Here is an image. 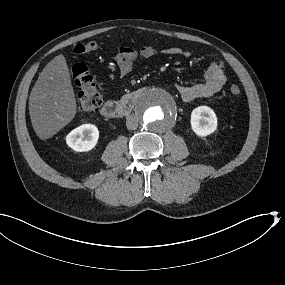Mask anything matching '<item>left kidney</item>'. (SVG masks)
Masks as SVG:
<instances>
[{"instance_id": "1", "label": "left kidney", "mask_w": 285, "mask_h": 285, "mask_svg": "<svg viewBox=\"0 0 285 285\" xmlns=\"http://www.w3.org/2000/svg\"><path fill=\"white\" fill-rule=\"evenodd\" d=\"M191 127L198 136L210 135L217 128L215 112L208 106L195 108L191 114Z\"/></svg>"}]
</instances>
